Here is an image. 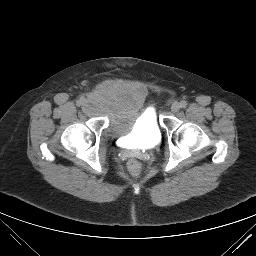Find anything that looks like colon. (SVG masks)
I'll return each instance as SVG.
<instances>
[{"label":"colon","mask_w":256,"mask_h":256,"mask_svg":"<svg viewBox=\"0 0 256 256\" xmlns=\"http://www.w3.org/2000/svg\"><path fill=\"white\" fill-rule=\"evenodd\" d=\"M128 171L133 177H138L141 173V164L135 159H131L128 162Z\"/></svg>","instance_id":"colon-1"}]
</instances>
